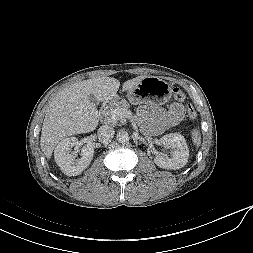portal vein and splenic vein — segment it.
<instances>
[{
	"label": "portal vein and splenic vein",
	"instance_id": "18ae733b",
	"mask_svg": "<svg viewBox=\"0 0 253 253\" xmlns=\"http://www.w3.org/2000/svg\"><path fill=\"white\" fill-rule=\"evenodd\" d=\"M131 118L132 113L126 109H115L111 114V119L119 120L121 118Z\"/></svg>",
	"mask_w": 253,
	"mask_h": 253
}]
</instances>
